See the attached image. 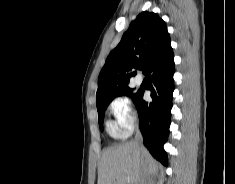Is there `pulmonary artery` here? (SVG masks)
<instances>
[{"mask_svg":"<svg viewBox=\"0 0 235 184\" xmlns=\"http://www.w3.org/2000/svg\"><path fill=\"white\" fill-rule=\"evenodd\" d=\"M142 83H143V78H142L141 75L138 74V75L135 77V84H136L137 86H140V85H142Z\"/></svg>","mask_w":235,"mask_h":184,"instance_id":"obj_1","label":"pulmonary artery"}]
</instances>
